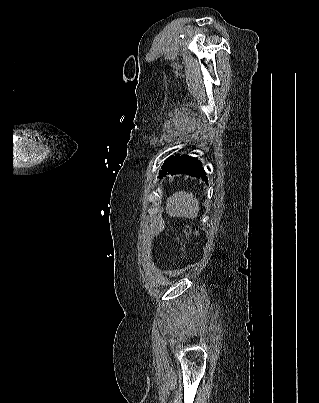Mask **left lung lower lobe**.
Wrapping results in <instances>:
<instances>
[{
    "label": "left lung lower lobe",
    "mask_w": 319,
    "mask_h": 403,
    "mask_svg": "<svg viewBox=\"0 0 319 403\" xmlns=\"http://www.w3.org/2000/svg\"><path fill=\"white\" fill-rule=\"evenodd\" d=\"M166 174H186L193 177L202 178L203 181L206 183L208 182L206 172L202 167V163L196 158L189 157L187 155L173 156L160 177L162 178L166 176Z\"/></svg>",
    "instance_id": "1"
}]
</instances>
